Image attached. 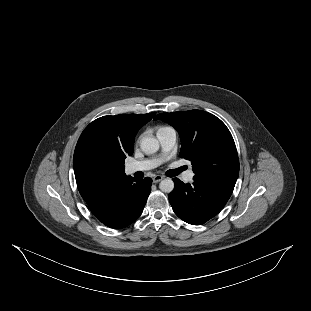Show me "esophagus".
Here are the masks:
<instances>
[{
    "mask_svg": "<svg viewBox=\"0 0 311 311\" xmlns=\"http://www.w3.org/2000/svg\"><path fill=\"white\" fill-rule=\"evenodd\" d=\"M163 176H161V175H155L154 177H153V182L154 183H158V182H160L161 180H163Z\"/></svg>",
    "mask_w": 311,
    "mask_h": 311,
    "instance_id": "esophagus-1",
    "label": "esophagus"
}]
</instances>
